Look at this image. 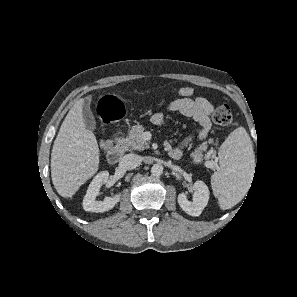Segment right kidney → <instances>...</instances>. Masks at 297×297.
<instances>
[{"instance_id":"right-kidney-1","label":"right kidney","mask_w":297,"mask_h":297,"mask_svg":"<svg viewBox=\"0 0 297 297\" xmlns=\"http://www.w3.org/2000/svg\"><path fill=\"white\" fill-rule=\"evenodd\" d=\"M108 178V171H102L93 178L83 199V208L85 211L96 213L106 212L111 210L121 200V194L106 197L103 201L96 200L102 184L106 183Z\"/></svg>"}]
</instances>
